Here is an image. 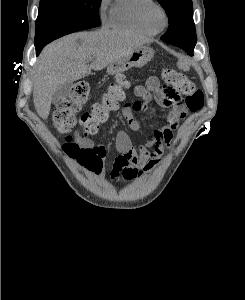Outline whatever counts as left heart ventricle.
<instances>
[{
    "instance_id": "b2bd125f",
    "label": "left heart ventricle",
    "mask_w": 245,
    "mask_h": 300,
    "mask_svg": "<svg viewBox=\"0 0 245 300\" xmlns=\"http://www.w3.org/2000/svg\"><path fill=\"white\" fill-rule=\"evenodd\" d=\"M150 20L152 24L155 26H159L162 24V17L157 10H152L150 12Z\"/></svg>"
}]
</instances>
